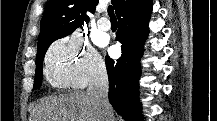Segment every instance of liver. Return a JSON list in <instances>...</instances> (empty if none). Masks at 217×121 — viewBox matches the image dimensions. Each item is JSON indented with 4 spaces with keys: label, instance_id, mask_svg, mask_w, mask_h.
Segmentation results:
<instances>
[{
    "label": "liver",
    "instance_id": "6515ba94",
    "mask_svg": "<svg viewBox=\"0 0 217 121\" xmlns=\"http://www.w3.org/2000/svg\"><path fill=\"white\" fill-rule=\"evenodd\" d=\"M30 121H102L98 107L83 92L49 97L32 112Z\"/></svg>",
    "mask_w": 217,
    "mask_h": 121
}]
</instances>
